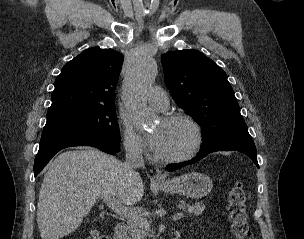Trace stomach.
I'll list each match as a JSON object with an SVG mask.
<instances>
[{
	"label": "stomach",
	"instance_id": "stomach-1",
	"mask_svg": "<svg viewBox=\"0 0 304 239\" xmlns=\"http://www.w3.org/2000/svg\"><path fill=\"white\" fill-rule=\"evenodd\" d=\"M166 193H176L189 198L199 199L213 188V182L209 176L200 172H188L159 185Z\"/></svg>",
	"mask_w": 304,
	"mask_h": 239
}]
</instances>
